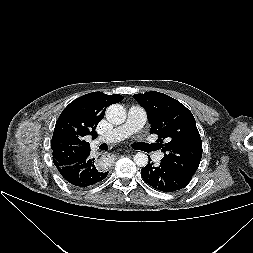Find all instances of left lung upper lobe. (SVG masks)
<instances>
[{
  "instance_id": "left-lung-upper-lobe-1",
  "label": "left lung upper lobe",
  "mask_w": 253,
  "mask_h": 253,
  "mask_svg": "<svg viewBox=\"0 0 253 253\" xmlns=\"http://www.w3.org/2000/svg\"><path fill=\"white\" fill-rule=\"evenodd\" d=\"M133 97L147 112L150 133L158 135L156 142L164 152L161 161L190 181L202 157L200 134L190 110L159 92L135 94Z\"/></svg>"
}]
</instances>
